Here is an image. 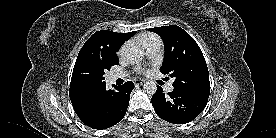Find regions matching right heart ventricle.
Returning <instances> with one entry per match:
<instances>
[{"mask_svg":"<svg viewBox=\"0 0 276 138\" xmlns=\"http://www.w3.org/2000/svg\"><path fill=\"white\" fill-rule=\"evenodd\" d=\"M138 41L140 42V44L146 48L148 45L152 44V43H156V42H159L161 43V40L160 38L155 35V34H152V33H144L142 34Z\"/></svg>","mask_w":276,"mask_h":138,"instance_id":"1","label":"right heart ventricle"}]
</instances>
